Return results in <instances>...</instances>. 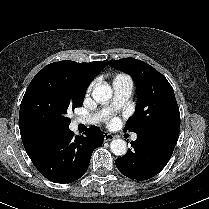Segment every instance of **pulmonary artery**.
I'll return each instance as SVG.
<instances>
[{"label": "pulmonary artery", "instance_id": "e3ab8cb5", "mask_svg": "<svg viewBox=\"0 0 209 209\" xmlns=\"http://www.w3.org/2000/svg\"><path fill=\"white\" fill-rule=\"evenodd\" d=\"M113 88H114V98H113V102L109 108H106L103 111H101L100 113L95 114V115L88 117V118H78L77 122L82 123V124L95 123L101 117L107 115L111 109H116V108H120L121 106H123L132 94L131 82L130 81L117 82V83L113 84ZM131 139L136 140L137 136L133 135L131 137Z\"/></svg>", "mask_w": 209, "mask_h": 209}]
</instances>
